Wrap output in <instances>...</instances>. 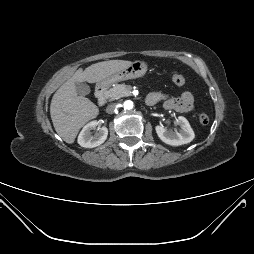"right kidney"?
<instances>
[{"mask_svg":"<svg viewBox=\"0 0 254 254\" xmlns=\"http://www.w3.org/2000/svg\"><path fill=\"white\" fill-rule=\"evenodd\" d=\"M99 125L98 121H91L86 124L78 136V144L85 148H94L105 142L108 136L106 127L100 128L94 135L91 131Z\"/></svg>","mask_w":254,"mask_h":254,"instance_id":"1","label":"right kidney"}]
</instances>
